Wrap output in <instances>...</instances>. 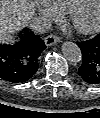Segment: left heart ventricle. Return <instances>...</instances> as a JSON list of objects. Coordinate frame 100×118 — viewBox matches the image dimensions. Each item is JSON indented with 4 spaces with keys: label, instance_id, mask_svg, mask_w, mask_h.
<instances>
[{
    "label": "left heart ventricle",
    "instance_id": "left-heart-ventricle-1",
    "mask_svg": "<svg viewBox=\"0 0 100 118\" xmlns=\"http://www.w3.org/2000/svg\"><path fill=\"white\" fill-rule=\"evenodd\" d=\"M97 6H98V3H97V0H95L85 11L84 13L82 14V19L84 21H89L91 20L95 13H96V10H97Z\"/></svg>",
    "mask_w": 100,
    "mask_h": 118
}]
</instances>
